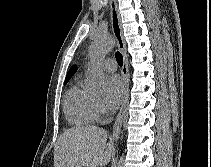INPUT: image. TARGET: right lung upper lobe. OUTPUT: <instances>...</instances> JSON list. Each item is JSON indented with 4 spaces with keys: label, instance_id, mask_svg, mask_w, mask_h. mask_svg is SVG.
<instances>
[{
    "label": "right lung upper lobe",
    "instance_id": "1",
    "mask_svg": "<svg viewBox=\"0 0 211 167\" xmlns=\"http://www.w3.org/2000/svg\"><path fill=\"white\" fill-rule=\"evenodd\" d=\"M76 70H77V67H76V66H73V67L69 70V72L67 73L65 81H68V80L70 79V77L72 76V74H73Z\"/></svg>",
    "mask_w": 211,
    "mask_h": 167
}]
</instances>
